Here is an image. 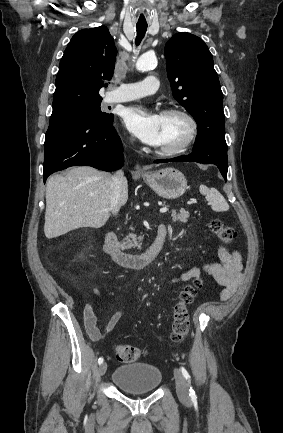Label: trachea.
<instances>
[{
  "label": "trachea",
  "mask_w": 283,
  "mask_h": 433,
  "mask_svg": "<svg viewBox=\"0 0 283 433\" xmlns=\"http://www.w3.org/2000/svg\"><path fill=\"white\" fill-rule=\"evenodd\" d=\"M147 28L148 25H136V29H137V36L135 39L136 46H139V44L142 42V39L146 34Z\"/></svg>",
  "instance_id": "trachea-1"
}]
</instances>
